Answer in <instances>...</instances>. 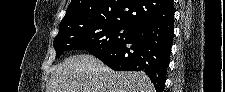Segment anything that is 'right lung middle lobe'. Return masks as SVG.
Returning <instances> with one entry per match:
<instances>
[{"label": "right lung middle lobe", "mask_w": 225, "mask_h": 92, "mask_svg": "<svg viewBox=\"0 0 225 92\" xmlns=\"http://www.w3.org/2000/svg\"><path fill=\"white\" fill-rule=\"evenodd\" d=\"M133 27L118 22L81 21L71 28L59 30L54 39L56 58L67 50H86L90 53L124 42Z\"/></svg>", "instance_id": "obj_1"}]
</instances>
